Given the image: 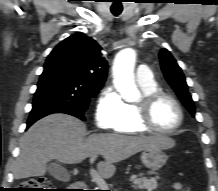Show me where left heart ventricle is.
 Segmentation results:
<instances>
[{"mask_svg":"<svg viewBox=\"0 0 218 191\" xmlns=\"http://www.w3.org/2000/svg\"><path fill=\"white\" fill-rule=\"evenodd\" d=\"M155 125L161 129H170L177 125L179 113L176 106L168 99H159L152 110Z\"/></svg>","mask_w":218,"mask_h":191,"instance_id":"1","label":"left heart ventricle"}]
</instances>
